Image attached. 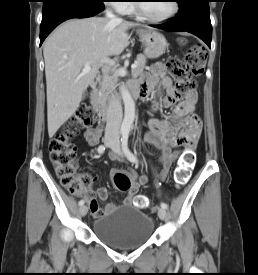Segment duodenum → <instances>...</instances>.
Listing matches in <instances>:
<instances>
[{"instance_id":"410a0bca","label":"duodenum","mask_w":258,"mask_h":275,"mask_svg":"<svg viewBox=\"0 0 258 275\" xmlns=\"http://www.w3.org/2000/svg\"><path fill=\"white\" fill-rule=\"evenodd\" d=\"M89 85H90V89H91V92H92V95L94 97H97V92H96V79H92L90 82H89ZM128 93L132 96V97H139L140 94H141V91H140V88L138 87H129L128 88ZM94 109L96 111V114H97V117L99 119L100 122H106L107 119H108V116H109V111H108V108L99 103V102H95L94 103Z\"/></svg>"}]
</instances>
